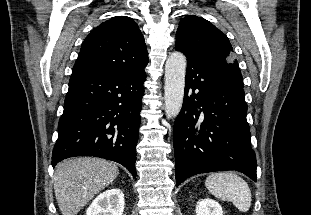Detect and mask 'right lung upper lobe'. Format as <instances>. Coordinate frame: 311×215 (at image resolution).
<instances>
[{
  "label": "right lung upper lobe",
  "instance_id": "cb5924a9",
  "mask_svg": "<svg viewBox=\"0 0 311 215\" xmlns=\"http://www.w3.org/2000/svg\"><path fill=\"white\" fill-rule=\"evenodd\" d=\"M148 63L145 41L136 22L111 18L94 28L82 43L72 74H132Z\"/></svg>",
  "mask_w": 311,
  "mask_h": 215
}]
</instances>
